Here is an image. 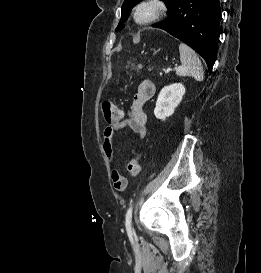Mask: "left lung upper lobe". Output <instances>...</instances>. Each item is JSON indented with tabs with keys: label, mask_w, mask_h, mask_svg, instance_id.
<instances>
[{
	"label": "left lung upper lobe",
	"mask_w": 261,
	"mask_h": 273,
	"mask_svg": "<svg viewBox=\"0 0 261 273\" xmlns=\"http://www.w3.org/2000/svg\"><path fill=\"white\" fill-rule=\"evenodd\" d=\"M140 1L142 0H125L124 1L122 5V9H121L122 10L121 20L115 31H119L124 28V22L127 20V17L129 16L130 11ZM163 1L165 2L168 8L175 2V0H163Z\"/></svg>",
	"instance_id": "left-lung-upper-lobe-1"
}]
</instances>
